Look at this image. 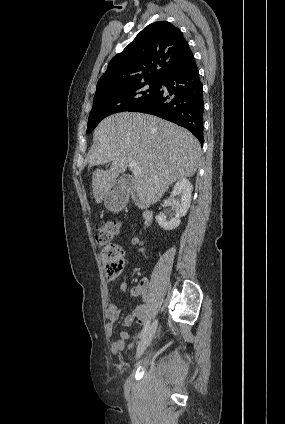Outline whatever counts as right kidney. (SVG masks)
<instances>
[{
  "instance_id": "right-kidney-1",
  "label": "right kidney",
  "mask_w": 285,
  "mask_h": 424,
  "mask_svg": "<svg viewBox=\"0 0 285 424\" xmlns=\"http://www.w3.org/2000/svg\"><path fill=\"white\" fill-rule=\"evenodd\" d=\"M192 190L193 185L186 178H182L174 185L172 195L168 198V202H172L173 204L175 217L167 221L164 215H157L156 221L161 228L164 230H173L180 225V218L186 215L190 207ZM177 194L181 195L180 201L174 199V196Z\"/></svg>"
}]
</instances>
